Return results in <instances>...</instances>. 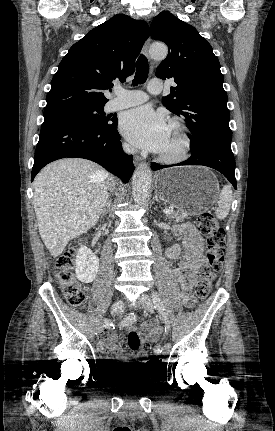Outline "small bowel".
I'll use <instances>...</instances> for the list:
<instances>
[{
    "mask_svg": "<svg viewBox=\"0 0 275 431\" xmlns=\"http://www.w3.org/2000/svg\"><path fill=\"white\" fill-rule=\"evenodd\" d=\"M176 234L183 235L184 254L178 265L173 270L175 279L181 286L180 297L186 307H192L196 300L192 295L193 286L197 280L200 269L205 265L204 257L205 241L203 235L193 223H185L175 228ZM181 247L173 245L166 249L165 254L169 259H177L181 255ZM159 337V329L155 321H148L142 325V342L155 343ZM118 336L115 332L105 333L98 342V350L101 354L108 352L120 356L117 345ZM141 354H145L143 351Z\"/></svg>",
    "mask_w": 275,
    "mask_h": 431,
    "instance_id": "1",
    "label": "small bowel"
}]
</instances>
